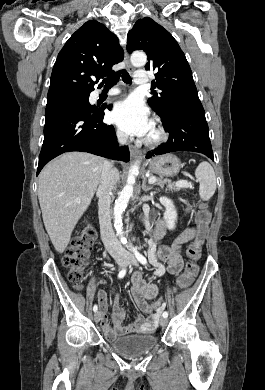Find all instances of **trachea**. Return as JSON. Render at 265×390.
<instances>
[{"label": "trachea", "instance_id": "obj_1", "mask_svg": "<svg viewBox=\"0 0 265 390\" xmlns=\"http://www.w3.org/2000/svg\"><path fill=\"white\" fill-rule=\"evenodd\" d=\"M120 76H122V80L124 81V83H126V84L132 83V79H131L130 75L128 74V72L126 70H120L116 74H114L108 78H105L103 80L105 83V87H112V86L116 85Z\"/></svg>", "mask_w": 265, "mask_h": 390}]
</instances>
